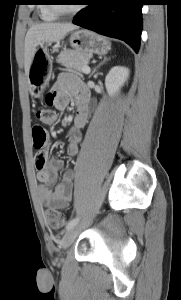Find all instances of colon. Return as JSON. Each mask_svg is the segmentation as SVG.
Masks as SVG:
<instances>
[{
	"mask_svg": "<svg viewBox=\"0 0 181 300\" xmlns=\"http://www.w3.org/2000/svg\"><path fill=\"white\" fill-rule=\"evenodd\" d=\"M53 96L47 95L46 103L52 105ZM35 118L42 124L49 125L54 123L58 118V113L51 107L38 108L34 113ZM33 148L36 151L35 165L37 168L45 164V157L41 154L48 140L46 130L39 124L35 125L32 130ZM45 219L47 224L53 229H59L65 224V216L60 211L49 208L45 211Z\"/></svg>",
	"mask_w": 181,
	"mask_h": 300,
	"instance_id": "5ec220e1",
	"label": "colon"
}]
</instances>
